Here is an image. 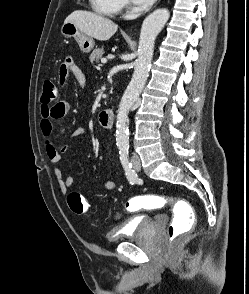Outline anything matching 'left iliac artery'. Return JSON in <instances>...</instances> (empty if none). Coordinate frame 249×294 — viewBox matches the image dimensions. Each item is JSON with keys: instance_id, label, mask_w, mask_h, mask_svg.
<instances>
[{"instance_id": "1", "label": "left iliac artery", "mask_w": 249, "mask_h": 294, "mask_svg": "<svg viewBox=\"0 0 249 294\" xmlns=\"http://www.w3.org/2000/svg\"><path fill=\"white\" fill-rule=\"evenodd\" d=\"M119 149L120 161L125 170L127 179L131 184H135L136 182H138L139 179L137 177V174H135L134 170H132V164L130 163L128 158L129 146H121Z\"/></svg>"}]
</instances>
